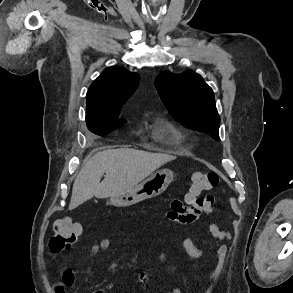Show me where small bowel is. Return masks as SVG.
Returning <instances> with one entry per match:
<instances>
[{
    "label": "small bowel",
    "instance_id": "c3829d8e",
    "mask_svg": "<svg viewBox=\"0 0 293 293\" xmlns=\"http://www.w3.org/2000/svg\"><path fill=\"white\" fill-rule=\"evenodd\" d=\"M187 203V200H186ZM214 197L212 195H207L200 199V202L194 204H188L186 206L176 199L172 201L170 210L165 214V218L171 222L179 224H188L195 222L199 219L202 213H210L213 210ZM208 228L211 236L217 241L221 242L223 240H231L232 234L227 231L221 230L214 223H209ZM82 232V228H81ZM81 234V233H80ZM111 239L103 238L99 242L93 244L90 251L93 255H97L102 251H105L111 247ZM183 247L187 254L195 259L204 257L208 251L197 247L190 237H185L183 239ZM217 263L208 279L207 288L205 293H212L214 288V282L219 277L223 262L227 255V247L225 245H216L215 247ZM62 281L54 285V293H66V288H70L74 284V273L71 269L65 268L62 270ZM144 279L146 276H143ZM114 285L108 283L106 289H112ZM95 293H104L103 290H98ZM167 293H182V290L178 287L171 289Z\"/></svg>",
    "mask_w": 293,
    "mask_h": 293
}]
</instances>
